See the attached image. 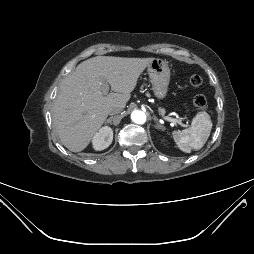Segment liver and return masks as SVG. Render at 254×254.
<instances>
[{
    "mask_svg": "<svg viewBox=\"0 0 254 254\" xmlns=\"http://www.w3.org/2000/svg\"><path fill=\"white\" fill-rule=\"evenodd\" d=\"M154 58L96 56L65 77L53 104V124L61 143L84 150L114 106L125 108L140 74ZM111 87L103 94V86Z\"/></svg>",
    "mask_w": 254,
    "mask_h": 254,
    "instance_id": "1",
    "label": "liver"
}]
</instances>
